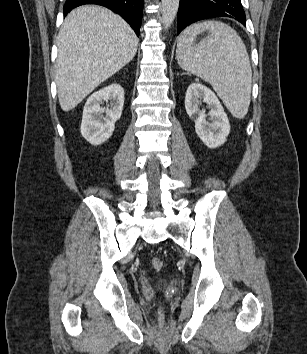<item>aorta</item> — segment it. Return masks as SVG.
Returning a JSON list of instances; mask_svg holds the SVG:
<instances>
[{
    "label": "aorta",
    "mask_w": 307,
    "mask_h": 354,
    "mask_svg": "<svg viewBox=\"0 0 307 354\" xmlns=\"http://www.w3.org/2000/svg\"><path fill=\"white\" fill-rule=\"evenodd\" d=\"M180 0H162V24L168 29L173 23L179 8Z\"/></svg>",
    "instance_id": "762f6f07"
}]
</instances>
